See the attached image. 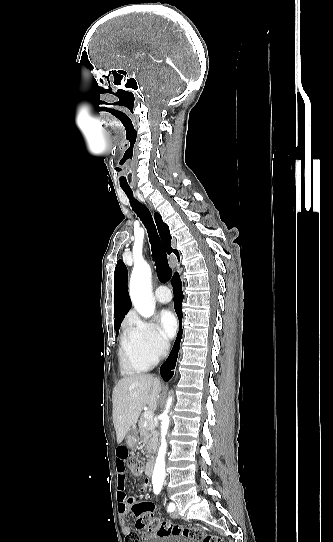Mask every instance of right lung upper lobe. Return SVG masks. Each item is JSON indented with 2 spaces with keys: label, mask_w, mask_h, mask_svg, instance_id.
Wrapping results in <instances>:
<instances>
[{
  "label": "right lung upper lobe",
  "mask_w": 333,
  "mask_h": 542,
  "mask_svg": "<svg viewBox=\"0 0 333 542\" xmlns=\"http://www.w3.org/2000/svg\"><path fill=\"white\" fill-rule=\"evenodd\" d=\"M155 222L162 239L163 245L168 254L174 252L178 256V252L170 246L171 235L169 227L163 222L158 213L154 214ZM127 268L122 260L117 262L115 268V285H114V317L115 327H120L125 315L131 308V300L127 289Z\"/></svg>",
  "instance_id": "1"
}]
</instances>
